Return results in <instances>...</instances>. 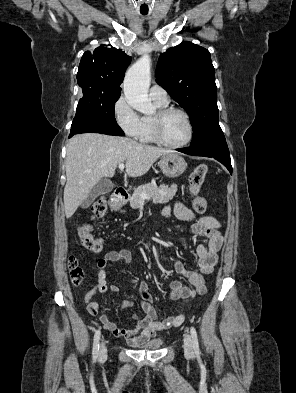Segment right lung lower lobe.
<instances>
[{
	"instance_id": "1",
	"label": "right lung lower lobe",
	"mask_w": 296,
	"mask_h": 393,
	"mask_svg": "<svg viewBox=\"0 0 296 393\" xmlns=\"http://www.w3.org/2000/svg\"><path fill=\"white\" fill-rule=\"evenodd\" d=\"M95 132L107 135L123 136L124 132L117 123H113L92 114H78L72 122L69 137L78 133Z\"/></svg>"
}]
</instances>
